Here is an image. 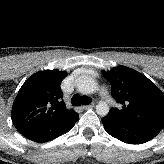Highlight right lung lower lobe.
Here are the masks:
<instances>
[{"label": "right lung lower lobe", "mask_w": 164, "mask_h": 164, "mask_svg": "<svg viewBox=\"0 0 164 164\" xmlns=\"http://www.w3.org/2000/svg\"><path fill=\"white\" fill-rule=\"evenodd\" d=\"M78 119V114L74 112L52 124L33 130L23 136L35 142H48L70 130Z\"/></svg>", "instance_id": "right-lung-lower-lobe-1"}]
</instances>
